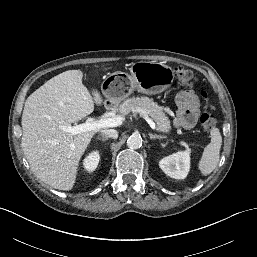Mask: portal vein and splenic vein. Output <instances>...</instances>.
I'll use <instances>...</instances> for the list:
<instances>
[{"label": "portal vein and splenic vein", "mask_w": 257, "mask_h": 257, "mask_svg": "<svg viewBox=\"0 0 257 257\" xmlns=\"http://www.w3.org/2000/svg\"><path fill=\"white\" fill-rule=\"evenodd\" d=\"M140 114L144 117V119L149 124V126L153 130H155L156 124L154 123V121L145 113L141 112ZM123 121H124V117L120 115L115 117H110V118H104L100 120H93L92 118H89L83 124H79L76 126H60V129L72 135H76L82 132H87L92 130L98 131L101 128L116 127L121 125Z\"/></svg>", "instance_id": "portal-vein-and-splenic-vein-1"}]
</instances>
